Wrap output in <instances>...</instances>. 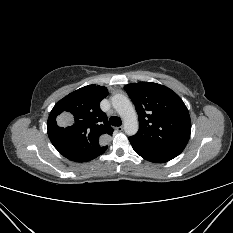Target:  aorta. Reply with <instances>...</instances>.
<instances>
[{"mask_svg":"<svg viewBox=\"0 0 233 233\" xmlns=\"http://www.w3.org/2000/svg\"><path fill=\"white\" fill-rule=\"evenodd\" d=\"M112 106L122 117L124 131L127 135L132 136L138 131V118L132 103L123 94H115L111 98Z\"/></svg>","mask_w":233,"mask_h":233,"instance_id":"aorta-1","label":"aorta"}]
</instances>
